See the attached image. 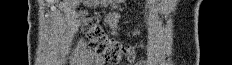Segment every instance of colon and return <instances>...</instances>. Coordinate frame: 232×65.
<instances>
[{"label": "colon", "instance_id": "1", "mask_svg": "<svg viewBox=\"0 0 232 65\" xmlns=\"http://www.w3.org/2000/svg\"><path fill=\"white\" fill-rule=\"evenodd\" d=\"M81 23L83 31L89 39L90 59L97 62L106 60L116 63L122 56H126L129 60L135 58L133 49L126 48L120 43L110 40L95 19L84 17Z\"/></svg>", "mask_w": 232, "mask_h": 65}]
</instances>
